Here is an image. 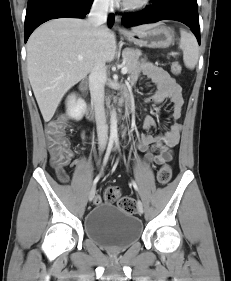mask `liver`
Wrapping results in <instances>:
<instances>
[{
	"label": "liver",
	"mask_w": 231,
	"mask_h": 281,
	"mask_svg": "<svg viewBox=\"0 0 231 281\" xmlns=\"http://www.w3.org/2000/svg\"><path fill=\"white\" fill-rule=\"evenodd\" d=\"M151 25L132 28L147 29ZM116 38L106 26L77 18H59L38 27L27 42V71L45 122H49L65 93L84 79L98 61L111 62Z\"/></svg>",
	"instance_id": "liver-1"
}]
</instances>
